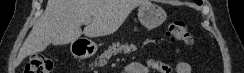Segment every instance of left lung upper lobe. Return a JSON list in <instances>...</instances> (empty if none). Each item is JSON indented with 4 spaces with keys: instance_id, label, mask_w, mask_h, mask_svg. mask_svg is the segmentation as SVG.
Here are the masks:
<instances>
[{
    "instance_id": "5c2ea615",
    "label": "left lung upper lobe",
    "mask_w": 244,
    "mask_h": 73,
    "mask_svg": "<svg viewBox=\"0 0 244 73\" xmlns=\"http://www.w3.org/2000/svg\"><path fill=\"white\" fill-rule=\"evenodd\" d=\"M195 2H197L198 5L202 4V0H194Z\"/></svg>"
}]
</instances>
